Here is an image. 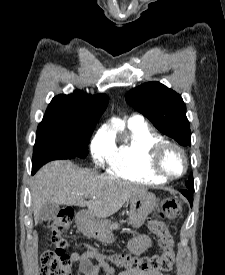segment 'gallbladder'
<instances>
[{"mask_svg":"<svg viewBox=\"0 0 225 275\" xmlns=\"http://www.w3.org/2000/svg\"><path fill=\"white\" fill-rule=\"evenodd\" d=\"M60 207L58 204L46 202L39 211V221L45 222L54 218L59 212Z\"/></svg>","mask_w":225,"mask_h":275,"instance_id":"1","label":"gallbladder"}]
</instances>
